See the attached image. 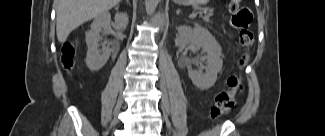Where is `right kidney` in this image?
Returning a JSON list of instances; mask_svg holds the SVG:
<instances>
[{
  "label": "right kidney",
  "mask_w": 325,
  "mask_h": 136,
  "mask_svg": "<svg viewBox=\"0 0 325 136\" xmlns=\"http://www.w3.org/2000/svg\"><path fill=\"white\" fill-rule=\"evenodd\" d=\"M111 22L109 12L98 15L91 24V30L86 33V44L88 47L86 65L91 71L100 70L108 61L111 55V49L108 42L103 43L102 49H99L100 33H107ZM128 24V16L125 13H116L115 27L118 30H125Z\"/></svg>",
  "instance_id": "1"
}]
</instances>
